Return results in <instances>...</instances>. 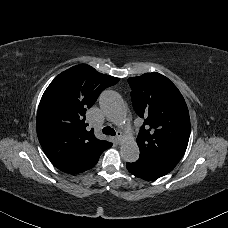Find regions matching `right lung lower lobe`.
Returning <instances> with one entry per match:
<instances>
[{"label": "right lung lower lobe", "mask_w": 228, "mask_h": 228, "mask_svg": "<svg viewBox=\"0 0 228 228\" xmlns=\"http://www.w3.org/2000/svg\"><path fill=\"white\" fill-rule=\"evenodd\" d=\"M103 151L91 154L63 172L77 174L94 167Z\"/></svg>", "instance_id": "obj_1"}]
</instances>
